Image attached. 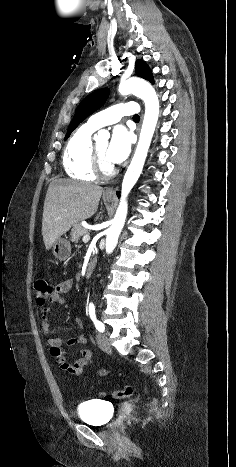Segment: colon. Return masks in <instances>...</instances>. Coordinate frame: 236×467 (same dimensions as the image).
Returning a JSON list of instances; mask_svg holds the SVG:
<instances>
[{
	"instance_id": "1",
	"label": "colon",
	"mask_w": 236,
	"mask_h": 467,
	"mask_svg": "<svg viewBox=\"0 0 236 467\" xmlns=\"http://www.w3.org/2000/svg\"><path fill=\"white\" fill-rule=\"evenodd\" d=\"M36 299L39 305H44L52 295V285L47 279H38L35 282ZM133 394V388L130 385L113 392L111 395L114 398H125Z\"/></svg>"
}]
</instances>
